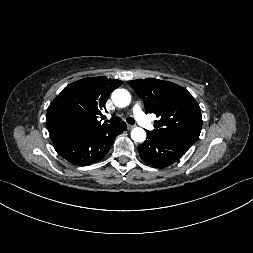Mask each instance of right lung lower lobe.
I'll return each instance as SVG.
<instances>
[{
    "instance_id": "98d812e1",
    "label": "right lung lower lobe",
    "mask_w": 253,
    "mask_h": 253,
    "mask_svg": "<svg viewBox=\"0 0 253 253\" xmlns=\"http://www.w3.org/2000/svg\"><path fill=\"white\" fill-rule=\"evenodd\" d=\"M126 130L125 122L74 138L54 146L56 152L72 164L91 165L102 160L116 136Z\"/></svg>"
}]
</instances>
